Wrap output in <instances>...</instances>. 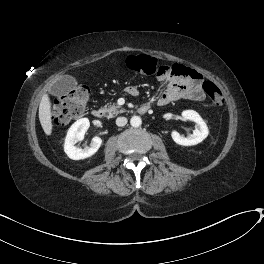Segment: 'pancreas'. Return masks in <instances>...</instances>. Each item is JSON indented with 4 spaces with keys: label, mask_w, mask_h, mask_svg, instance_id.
<instances>
[{
    "label": "pancreas",
    "mask_w": 264,
    "mask_h": 264,
    "mask_svg": "<svg viewBox=\"0 0 264 264\" xmlns=\"http://www.w3.org/2000/svg\"><path fill=\"white\" fill-rule=\"evenodd\" d=\"M102 111L106 114L105 116L108 118H113L114 116L118 115L119 113L124 112L123 109H119V106L115 105V104L105 105L102 108Z\"/></svg>",
    "instance_id": "cf45deb5"
}]
</instances>
